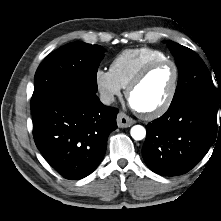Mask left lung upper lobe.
<instances>
[{
  "label": "left lung upper lobe",
  "instance_id": "1",
  "mask_svg": "<svg viewBox=\"0 0 221 221\" xmlns=\"http://www.w3.org/2000/svg\"><path fill=\"white\" fill-rule=\"evenodd\" d=\"M168 47L178 65V85L172 103L186 98H199L217 107L219 97L203 60L191 49L169 42ZM220 104H221V93Z\"/></svg>",
  "mask_w": 221,
  "mask_h": 221
}]
</instances>
